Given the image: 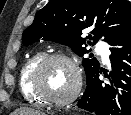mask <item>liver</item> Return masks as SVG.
Returning a JSON list of instances; mask_svg holds the SVG:
<instances>
[{"label":"liver","mask_w":131,"mask_h":115,"mask_svg":"<svg viewBox=\"0 0 131 115\" xmlns=\"http://www.w3.org/2000/svg\"><path fill=\"white\" fill-rule=\"evenodd\" d=\"M12 115H45V114L30 108H20L14 111Z\"/></svg>","instance_id":"1"}]
</instances>
